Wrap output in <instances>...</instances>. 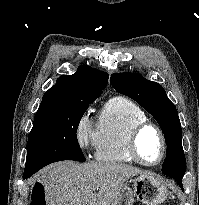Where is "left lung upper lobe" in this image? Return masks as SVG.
Masks as SVG:
<instances>
[{
  "label": "left lung upper lobe",
  "instance_id": "5c2ea615",
  "mask_svg": "<svg viewBox=\"0 0 199 205\" xmlns=\"http://www.w3.org/2000/svg\"><path fill=\"white\" fill-rule=\"evenodd\" d=\"M110 82L117 92L135 100L159 123L167 144L162 173L182 184L186 171L182 129L176 107L168 99L164 88L139 74L129 72L112 74Z\"/></svg>",
  "mask_w": 199,
  "mask_h": 205
}]
</instances>
